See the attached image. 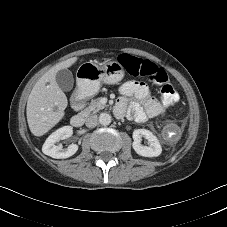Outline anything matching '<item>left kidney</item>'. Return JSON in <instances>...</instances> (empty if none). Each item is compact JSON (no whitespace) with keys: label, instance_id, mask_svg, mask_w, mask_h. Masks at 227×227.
Segmentation results:
<instances>
[{"label":"left kidney","instance_id":"5707ae66","mask_svg":"<svg viewBox=\"0 0 227 227\" xmlns=\"http://www.w3.org/2000/svg\"><path fill=\"white\" fill-rule=\"evenodd\" d=\"M142 137L148 140L149 146L141 144ZM133 149L135 152L144 157H157L162 152V147L157 137L147 129H136L133 132Z\"/></svg>","mask_w":227,"mask_h":227}]
</instances>
